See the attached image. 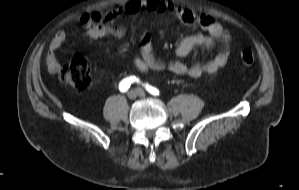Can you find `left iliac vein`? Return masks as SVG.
Returning a JSON list of instances; mask_svg holds the SVG:
<instances>
[{"mask_svg": "<svg viewBox=\"0 0 299 190\" xmlns=\"http://www.w3.org/2000/svg\"><path fill=\"white\" fill-rule=\"evenodd\" d=\"M138 91H139V96L141 97L145 96V93L142 89H138Z\"/></svg>", "mask_w": 299, "mask_h": 190, "instance_id": "4c4485c4", "label": "left iliac vein"}]
</instances>
